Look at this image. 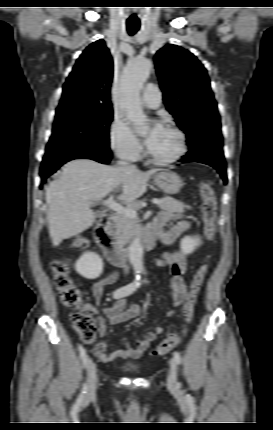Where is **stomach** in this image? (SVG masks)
Instances as JSON below:
<instances>
[{"label": "stomach", "instance_id": "1", "mask_svg": "<svg viewBox=\"0 0 273 430\" xmlns=\"http://www.w3.org/2000/svg\"><path fill=\"white\" fill-rule=\"evenodd\" d=\"M155 184L168 194H176L183 186L180 176L174 172H160L154 177Z\"/></svg>", "mask_w": 273, "mask_h": 430}]
</instances>
